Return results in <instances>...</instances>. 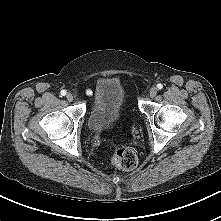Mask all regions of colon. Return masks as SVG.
Segmentation results:
<instances>
[{
	"label": "colon",
	"instance_id": "colon-1",
	"mask_svg": "<svg viewBox=\"0 0 221 221\" xmlns=\"http://www.w3.org/2000/svg\"><path fill=\"white\" fill-rule=\"evenodd\" d=\"M112 162L122 170H132L138 164V157L133 149L125 146H118L114 149Z\"/></svg>",
	"mask_w": 221,
	"mask_h": 221
}]
</instances>
